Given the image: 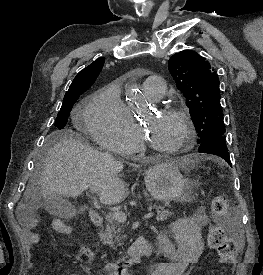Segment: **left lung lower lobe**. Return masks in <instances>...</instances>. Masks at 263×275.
Instances as JSON below:
<instances>
[{
  "label": "left lung lower lobe",
  "mask_w": 263,
  "mask_h": 275,
  "mask_svg": "<svg viewBox=\"0 0 263 275\" xmlns=\"http://www.w3.org/2000/svg\"><path fill=\"white\" fill-rule=\"evenodd\" d=\"M198 152L217 155L223 158L230 166V155L222 135H218L200 144Z\"/></svg>",
  "instance_id": "1"
}]
</instances>
